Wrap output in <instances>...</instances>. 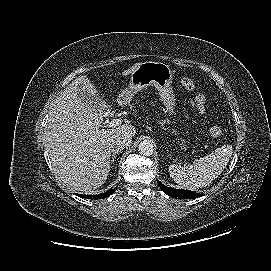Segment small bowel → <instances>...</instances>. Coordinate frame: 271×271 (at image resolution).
<instances>
[{
	"label": "small bowel",
	"instance_id": "small-bowel-1",
	"mask_svg": "<svg viewBox=\"0 0 271 271\" xmlns=\"http://www.w3.org/2000/svg\"><path fill=\"white\" fill-rule=\"evenodd\" d=\"M205 103H206L205 97L203 95H198L194 98L192 105L198 112L204 114Z\"/></svg>",
	"mask_w": 271,
	"mask_h": 271
}]
</instances>
